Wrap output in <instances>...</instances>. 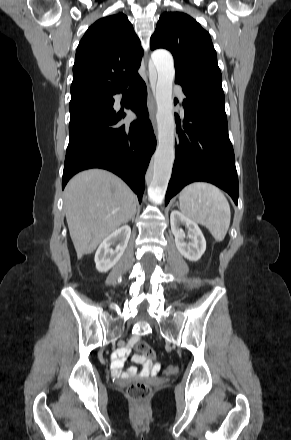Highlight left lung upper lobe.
Instances as JSON below:
<instances>
[{"label": "left lung upper lobe", "instance_id": "5c2ea615", "mask_svg": "<svg viewBox=\"0 0 291 440\" xmlns=\"http://www.w3.org/2000/svg\"><path fill=\"white\" fill-rule=\"evenodd\" d=\"M150 47L165 48L174 57L175 82L183 87L224 98L222 75L209 33L187 14L163 13Z\"/></svg>", "mask_w": 291, "mask_h": 440}]
</instances>
